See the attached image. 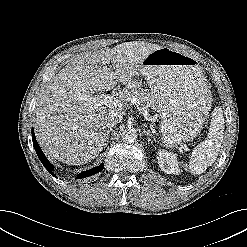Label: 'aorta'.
<instances>
[{"mask_svg":"<svg viewBox=\"0 0 247 247\" xmlns=\"http://www.w3.org/2000/svg\"><path fill=\"white\" fill-rule=\"evenodd\" d=\"M137 139V132L135 129H126L122 132V140L127 143L134 142Z\"/></svg>","mask_w":247,"mask_h":247,"instance_id":"obj_1","label":"aorta"}]
</instances>
